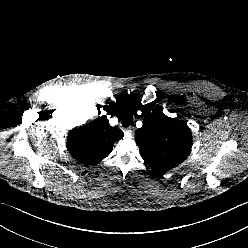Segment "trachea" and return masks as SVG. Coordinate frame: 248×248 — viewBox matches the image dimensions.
Masks as SVG:
<instances>
[{
    "mask_svg": "<svg viewBox=\"0 0 248 248\" xmlns=\"http://www.w3.org/2000/svg\"><path fill=\"white\" fill-rule=\"evenodd\" d=\"M133 122V115L131 111L125 110L121 114V123L123 127H129Z\"/></svg>",
    "mask_w": 248,
    "mask_h": 248,
    "instance_id": "3493384b",
    "label": "trachea"
}]
</instances>
